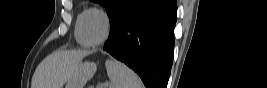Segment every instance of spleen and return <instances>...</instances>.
Masks as SVG:
<instances>
[{"instance_id": "3e777b00", "label": "spleen", "mask_w": 267, "mask_h": 88, "mask_svg": "<svg viewBox=\"0 0 267 88\" xmlns=\"http://www.w3.org/2000/svg\"><path fill=\"white\" fill-rule=\"evenodd\" d=\"M105 66L111 81L109 88H144L140 77L124 63L108 59Z\"/></svg>"}]
</instances>
